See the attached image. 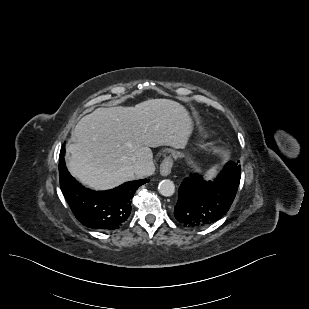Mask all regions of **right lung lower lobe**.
<instances>
[{
	"label": "right lung lower lobe",
	"mask_w": 309,
	"mask_h": 309,
	"mask_svg": "<svg viewBox=\"0 0 309 309\" xmlns=\"http://www.w3.org/2000/svg\"><path fill=\"white\" fill-rule=\"evenodd\" d=\"M65 145L59 158L60 187L75 217L84 226L99 230H115L131 214V198L138 187L149 179L126 182L108 191H92L79 184L68 172Z\"/></svg>",
	"instance_id": "98d812e1"
}]
</instances>
